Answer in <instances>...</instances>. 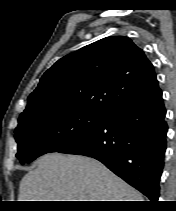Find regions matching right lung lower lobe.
Listing matches in <instances>:
<instances>
[{
  "label": "right lung lower lobe",
  "mask_w": 176,
  "mask_h": 211,
  "mask_svg": "<svg viewBox=\"0 0 176 211\" xmlns=\"http://www.w3.org/2000/svg\"><path fill=\"white\" fill-rule=\"evenodd\" d=\"M162 92L109 113L96 128L57 152L93 157L146 195L159 196L167 123Z\"/></svg>",
  "instance_id": "right-lung-lower-lobe-1"
}]
</instances>
